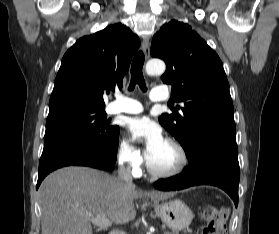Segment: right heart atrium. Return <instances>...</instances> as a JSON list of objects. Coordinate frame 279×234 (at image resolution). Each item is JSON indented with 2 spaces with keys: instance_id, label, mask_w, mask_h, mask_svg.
Masks as SVG:
<instances>
[{
  "instance_id": "right-heart-atrium-1",
  "label": "right heart atrium",
  "mask_w": 279,
  "mask_h": 234,
  "mask_svg": "<svg viewBox=\"0 0 279 234\" xmlns=\"http://www.w3.org/2000/svg\"><path fill=\"white\" fill-rule=\"evenodd\" d=\"M117 160L129 172L135 173L143 163V156L127 139L121 138L117 145Z\"/></svg>"
}]
</instances>
